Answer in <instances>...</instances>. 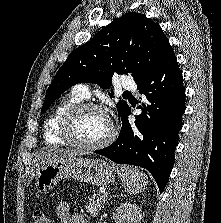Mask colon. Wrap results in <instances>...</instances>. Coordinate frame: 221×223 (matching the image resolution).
I'll list each match as a JSON object with an SVG mask.
<instances>
[{
    "label": "colon",
    "instance_id": "5ec220e1",
    "mask_svg": "<svg viewBox=\"0 0 221 223\" xmlns=\"http://www.w3.org/2000/svg\"><path fill=\"white\" fill-rule=\"evenodd\" d=\"M33 223H52L49 215L43 210H37L33 215Z\"/></svg>",
    "mask_w": 221,
    "mask_h": 223
}]
</instances>
